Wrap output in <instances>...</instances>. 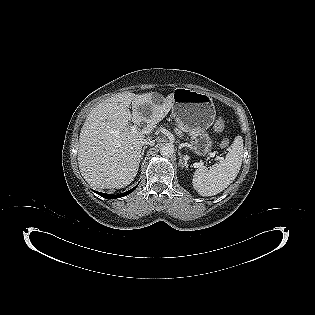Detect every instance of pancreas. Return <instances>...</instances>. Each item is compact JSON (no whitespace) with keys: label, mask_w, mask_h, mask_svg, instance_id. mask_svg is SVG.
<instances>
[{"label":"pancreas","mask_w":315,"mask_h":315,"mask_svg":"<svg viewBox=\"0 0 315 315\" xmlns=\"http://www.w3.org/2000/svg\"><path fill=\"white\" fill-rule=\"evenodd\" d=\"M179 127H180V128H183V126H182L181 124H179Z\"/></svg>","instance_id":"pancreas-1"}]
</instances>
